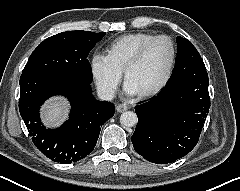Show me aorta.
<instances>
[{
  "mask_svg": "<svg viewBox=\"0 0 240 191\" xmlns=\"http://www.w3.org/2000/svg\"><path fill=\"white\" fill-rule=\"evenodd\" d=\"M138 121L137 115L133 111L123 112L120 116V122L125 127H133Z\"/></svg>",
  "mask_w": 240,
  "mask_h": 191,
  "instance_id": "obj_1",
  "label": "aorta"
}]
</instances>
